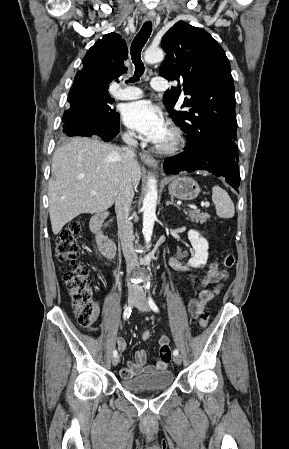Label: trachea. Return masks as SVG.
I'll return each instance as SVG.
<instances>
[{
    "label": "trachea",
    "mask_w": 289,
    "mask_h": 449,
    "mask_svg": "<svg viewBox=\"0 0 289 449\" xmlns=\"http://www.w3.org/2000/svg\"><path fill=\"white\" fill-rule=\"evenodd\" d=\"M152 32V23L151 21H147L143 24L142 28L134 38L131 48H130V54L132 62L135 65V73L133 78H130V82H136L139 81V78L144 73V65L141 60V51L147 42L148 38L150 37Z\"/></svg>",
    "instance_id": "3493384b"
}]
</instances>
